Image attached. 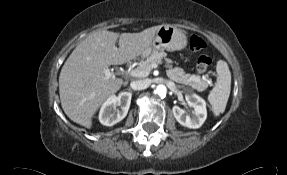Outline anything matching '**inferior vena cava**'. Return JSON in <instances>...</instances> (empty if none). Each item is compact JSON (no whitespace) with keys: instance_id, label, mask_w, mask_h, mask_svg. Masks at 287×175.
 Masks as SVG:
<instances>
[{"instance_id":"inferior-vena-cava-1","label":"inferior vena cava","mask_w":287,"mask_h":175,"mask_svg":"<svg viewBox=\"0 0 287 175\" xmlns=\"http://www.w3.org/2000/svg\"><path fill=\"white\" fill-rule=\"evenodd\" d=\"M150 81L145 79V80H137V81H133L130 83V86L132 87V89L134 90H144L146 88H148L150 86Z\"/></svg>"}]
</instances>
